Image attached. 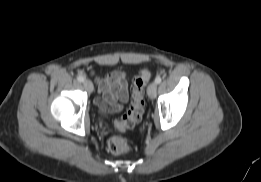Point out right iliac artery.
<instances>
[{
  "label": "right iliac artery",
  "instance_id": "1",
  "mask_svg": "<svg viewBox=\"0 0 261 182\" xmlns=\"http://www.w3.org/2000/svg\"><path fill=\"white\" fill-rule=\"evenodd\" d=\"M77 80H78L79 82H83V81H84V77L81 76V75H79V76L77 77Z\"/></svg>",
  "mask_w": 261,
  "mask_h": 182
}]
</instances>
